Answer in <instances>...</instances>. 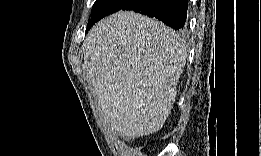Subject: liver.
<instances>
[{
	"instance_id": "obj_1",
	"label": "liver",
	"mask_w": 261,
	"mask_h": 156,
	"mask_svg": "<svg viewBox=\"0 0 261 156\" xmlns=\"http://www.w3.org/2000/svg\"><path fill=\"white\" fill-rule=\"evenodd\" d=\"M83 47L104 121L128 139L159 131L175 102L186 42L160 21L119 11L95 24Z\"/></svg>"
}]
</instances>
